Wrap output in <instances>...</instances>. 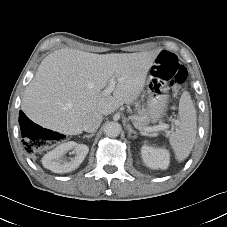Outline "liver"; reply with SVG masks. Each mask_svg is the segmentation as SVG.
<instances>
[{
	"label": "liver",
	"mask_w": 227,
	"mask_h": 227,
	"mask_svg": "<svg viewBox=\"0 0 227 227\" xmlns=\"http://www.w3.org/2000/svg\"><path fill=\"white\" fill-rule=\"evenodd\" d=\"M156 52L94 54L60 49L45 57L27 86L21 108L36 124L78 135L88 115H109L141 94ZM113 95H103L110 79Z\"/></svg>",
	"instance_id": "1"
}]
</instances>
